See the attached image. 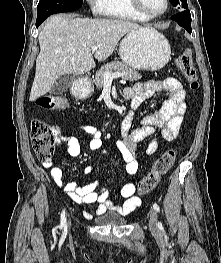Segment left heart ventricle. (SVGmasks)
Returning a JSON list of instances; mask_svg holds the SVG:
<instances>
[{
  "label": "left heart ventricle",
  "instance_id": "obj_1",
  "mask_svg": "<svg viewBox=\"0 0 221 263\" xmlns=\"http://www.w3.org/2000/svg\"><path fill=\"white\" fill-rule=\"evenodd\" d=\"M142 6L148 13L161 12L165 7V0H141Z\"/></svg>",
  "mask_w": 221,
  "mask_h": 263
}]
</instances>
